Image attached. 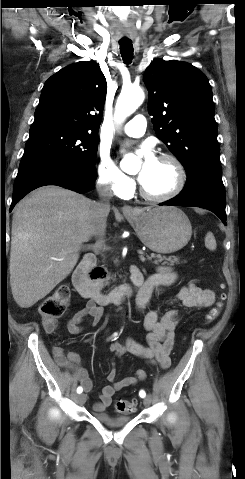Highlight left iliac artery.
<instances>
[{
  "instance_id": "44dca946",
  "label": "left iliac artery",
  "mask_w": 245,
  "mask_h": 479,
  "mask_svg": "<svg viewBox=\"0 0 245 479\" xmlns=\"http://www.w3.org/2000/svg\"><path fill=\"white\" fill-rule=\"evenodd\" d=\"M139 396H140L141 398H144V397L146 396L145 391H144V390H141V391L139 392Z\"/></svg>"
}]
</instances>
